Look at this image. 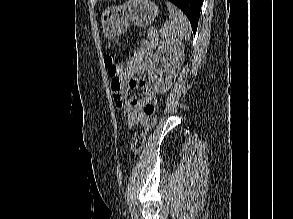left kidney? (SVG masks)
Instances as JSON below:
<instances>
[{
	"instance_id": "left-kidney-1",
	"label": "left kidney",
	"mask_w": 293,
	"mask_h": 219,
	"mask_svg": "<svg viewBox=\"0 0 293 219\" xmlns=\"http://www.w3.org/2000/svg\"><path fill=\"white\" fill-rule=\"evenodd\" d=\"M162 55L166 56L164 65L166 75L163 78H158L155 72L157 71V63ZM183 57V44L169 40L160 43L148 69L149 84L155 93L164 94L172 87L173 81L176 79L181 67Z\"/></svg>"
}]
</instances>
